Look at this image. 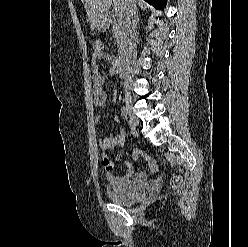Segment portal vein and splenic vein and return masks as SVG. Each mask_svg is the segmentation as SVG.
<instances>
[{
  "label": "portal vein and splenic vein",
  "instance_id": "obj_1",
  "mask_svg": "<svg viewBox=\"0 0 248 247\" xmlns=\"http://www.w3.org/2000/svg\"><path fill=\"white\" fill-rule=\"evenodd\" d=\"M116 16L120 17V16H121V14H120V13H118V12H116Z\"/></svg>",
  "mask_w": 248,
  "mask_h": 247
}]
</instances>
